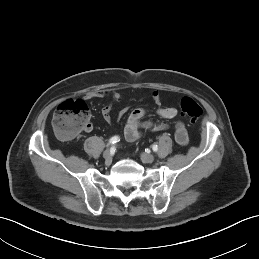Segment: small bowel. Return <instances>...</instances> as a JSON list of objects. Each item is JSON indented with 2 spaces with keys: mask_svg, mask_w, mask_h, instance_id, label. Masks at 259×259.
<instances>
[{
  "mask_svg": "<svg viewBox=\"0 0 259 259\" xmlns=\"http://www.w3.org/2000/svg\"><path fill=\"white\" fill-rule=\"evenodd\" d=\"M104 96H111L112 99L116 102H119L122 99V93L117 90L90 91L86 93L83 98L85 100H91ZM152 98L156 104L159 105L161 103V95L159 91L154 90L152 92ZM110 110L111 108L109 105L103 107L101 110L102 117L107 123L112 122ZM145 114L146 111L143 108H136L129 114L124 128V137L128 142H134L138 140L141 136V129L149 131H162L168 128V124L165 122L156 124L151 121H142V118L145 116ZM156 114L162 119L169 120L177 116V110L174 107H159L156 110ZM84 130L86 132H90L92 130V125H87ZM175 141L180 146H185L189 142L188 133L183 123L181 122H178L175 126Z\"/></svg>",
  "mask_w": 259,
  "mask_h": 259,
  "instance_id": "obj_1",
  "label": "small bowel"
}]
</instances>
